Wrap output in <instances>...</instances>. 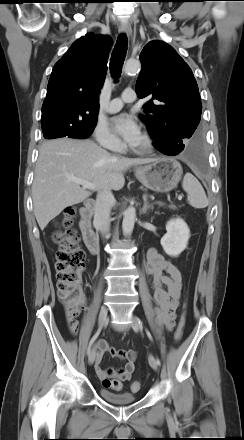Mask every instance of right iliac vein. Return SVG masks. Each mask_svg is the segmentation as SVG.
Segmentation results:
<instances>
[{
  "label": "right iliac vein",
  "mask_w": 244,
  "mask_h": 440,
  "mask_svg": "<svg viewBox=\"0 0 244 440\" xmlns=\"http://www.w3.org/2000/svg\"><path fill=\"white\" fill-rule=\"evenodd\" d=\"M107 314H108L107 307L106 306H102L101 309H100V313H99V320H98L99 327H102L105 324V322L107 320ZM95 353H96V349L93 348L91 353H90V355H89V358H88V363L90 365H92L94 363Z\"/></svg>",
  "instance_id": "right-iliac-vein-1"
}]
</instances>
